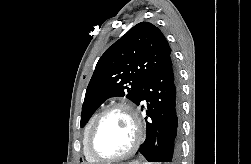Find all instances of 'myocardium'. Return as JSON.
Returning <instances> with one entry per match:
<instances>
[{"label": "myocardium", "instance_id": "obj_1", "mask_svg": "<svg viewBox=\"0 0 251 164\" xmlns=\"http://www.w3.org/2000/svg\"><path fill=\"white\" fill-rule=\"evenodd\" d=\"M117 109H122V110L126 111L133 122L134 130H135V137H134L133 143L126 152H124L120 155L113 156V157L98 156L94 153L93 147H92L95 134H96L102 120L105 118V116L107 114H109L111 111H114ZM143 138H144V127H143L142 120H141L138 112L136 111V109L131 104H129L127 102H116V103H113V104L107 106L104 110H102L98 114L96 119L94 120V122L91 126V129L89 131L88 137H87L86 149H87L89 156L92 159H94L96 162H102V163L103 162H114V161L126 159L129 156H131L139 148V146L141 145V143L143 141Z\"/></svg>", "mask_w": 251, "mask_h": 164}]
</instances>
